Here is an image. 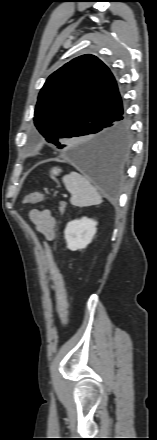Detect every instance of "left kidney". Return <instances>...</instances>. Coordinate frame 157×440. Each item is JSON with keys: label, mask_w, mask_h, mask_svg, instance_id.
Returning <instances> with one entry per match:
<instances>
[{"label": "left kidney", "mask_w": 157, "mask_h": 440, "mask_svg": "<svg viewBox=\"0 0 157 440\" xmlns=\"http://www.w3.org/2000/svg\"><path fill=\"white\" fill-rule=\"evenodd\" d=\"M97 222L87 217L70 221L64 231L67 248L82 250L91 242L97 231Z\"/></svg>", "instance_id": "5707ae66"}]
</instances>
